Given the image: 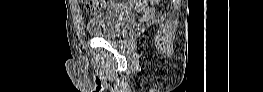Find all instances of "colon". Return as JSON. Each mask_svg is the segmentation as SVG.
Segmentation results:
<instances>
[{
    "label": "colon",
    "instance_id": "obj_1",
    "mask_svg": "<svg viewBox=\"0 0 263 92\" xmlns=\"http://www.w3.org/2000/svg\"><path fill=\"white\" fill-rule=\"evenodd\" d=\"M131 4H133L135 7L138 6V5H141L144 3V1H134V2H130ZM113 4V3H112ZM113 6V5H112ZM97 10V7H91L89 8V11L90 12H94Z\"/></svg>",
    "mask_w": 263,
    "mask_h": 92
}]
</instances>
